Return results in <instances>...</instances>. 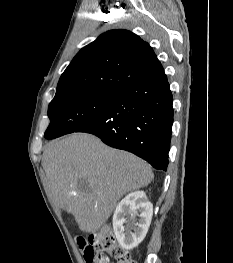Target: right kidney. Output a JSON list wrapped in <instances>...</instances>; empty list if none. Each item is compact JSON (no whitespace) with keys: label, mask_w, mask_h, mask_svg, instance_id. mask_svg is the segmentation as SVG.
Instances as JSON below:
<instances>
[{"label":"right kidney","mask_w":233,"mask_h":263,"mask_svg":"<svg viewBox=\"0 0 233 263\" xmlns=\"http://www.w3.org/2000/svg\"><path fill=\"white\" fill-rule=\"evenodd\" d=\"M136 215L139 216L137 222ZM152 215L153 205L143 191L132 192L119 202L113 215V228L122 248L131 250L143 241Z\"/></svg>","instance_id":"obj_1"}]
</instances>
